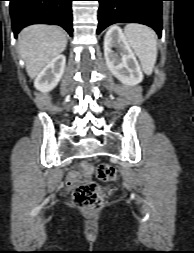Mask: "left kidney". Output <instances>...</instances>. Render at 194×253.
I'll list each match as a JSON object with an SVG mask.
<instances>
[{"label": "left kidney", "mask_w": 194, "mask_h": 253, "mask_svg": "<svg viewBox=\"0 0 194 253\" xmlns=\"http://www.w3.org/2000/svg\"><path fill=\"white\" fill-rule=\"evenodd\" d=\"M113 47L120 52L115 53ZM104 56L108 69L123 84L135 86L143 80L139 63L119 27H111L106 32Z\"/></svg>", "instance_id": "5707ae66"}]
</instances>
